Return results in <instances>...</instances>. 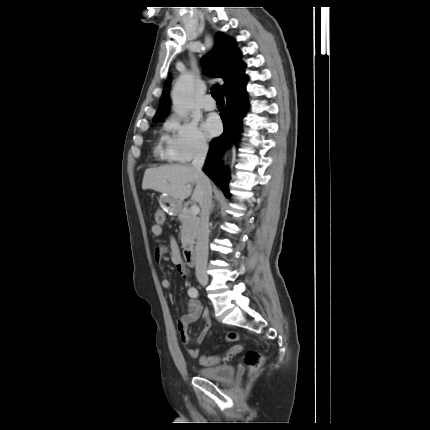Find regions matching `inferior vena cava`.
<instances>
[{
	"label": "inferior vena cava",
	"instance_id": "1",
	"mask_svg": "<svg viewBox=\"0 0 430 430\" xmlns=\"http://www.w3.org/2000/svg\"><path fill=\"white\" fill-rule=\"evenodd\" d=\"M208 147H201L195 154L192 161L193 168L199 175V180L203 186V196L200 202L201 215L198 227L197 243H196V277L206 278L207 261H208V242H209V215L212 206V187L210 180L203 173Z\"/></svg>",
	"mask_w": 430,
	"mask_h": 430
}]
</instances>
